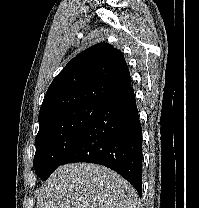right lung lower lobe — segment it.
<instances>
[{
    "mask_svg": "<svg viewBox=\"0 0 199 208\" xmlns=\"http://www.w3.org/2000/svg\"><path fill=\"white\" fill-rule=\"evenodd\" d=\"M90 162L124 177L142 194V128L132 87L103 103L61 165Z\"/></svg>",
    "mask_w": 199,
    "mask_h": 208,
    "instance_id": "98d812e1",
    "label": "right lung lower lobe"
}]
</instances>
